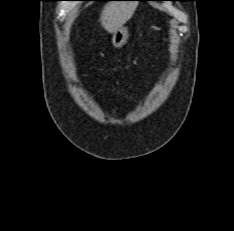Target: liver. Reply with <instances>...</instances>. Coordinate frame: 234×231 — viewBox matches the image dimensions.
Masks as SVG:
<instances>
[{
	"label": "liver",
	"mask_w": 234,
	"mask_h": 231,
	"mask_svg": "<svg viewBox=\"0 0 234 231\" xmlns=\"http://www.w3.org/2000/svg\"><path fill=\"white\" fill-rule=\"evenodd\" d=\"M135 9L132 2H110L104 6L100 15L102 27L109 33H115L129 19Z\"/></svg>",
	"instance_id": "6515ba94"
}]
</instances>
